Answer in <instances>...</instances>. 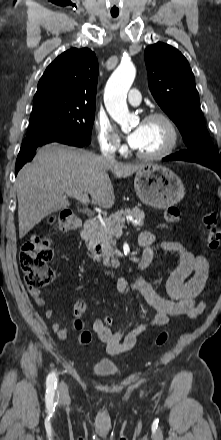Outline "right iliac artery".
<instances>
[{"mask_svg": "<svg viewBox=\"0 0 221 440\" xmlns=\"http://www.w3.org/2000/svg\"><path fill=\"white\" fill-rule=\"evenodd\" d=\"M47 390L46 393L49 397H53L57 386V377L55 372L48 375L46 380Z\"/></svg>", "mask_w": 221, "mask_h": 440, "instance_id": "82829eb1", "label": "right iliac artery"}]
</instances>
